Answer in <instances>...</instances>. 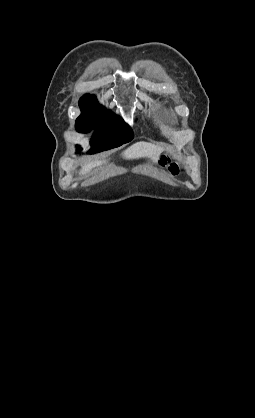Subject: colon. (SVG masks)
<instances>
[{"instance_id":"obj_1","label":"colon","mask_w":255,"mask_h":418,"mask_svg":"<svg viewBox=\"0 0 255 418\" xmlns=\"http://www.w3.org/2000/svg\"><path fill=\"white\" fill-rule=\"evenodd\" d=\"M161 163L162 164H165V165H169V170L172 172V173H177L178 172V170H179V168H178V166L175 164V163H171L170 162V160L166 157V156H164L163 158H162V161H161Z\"/></svg>"}]
</instances>
